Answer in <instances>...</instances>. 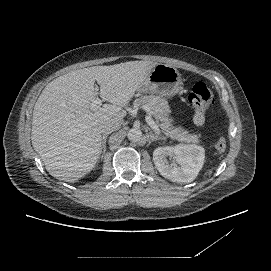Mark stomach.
<instances>
[{
	"mask_svg": "<svg viewBox=\"0 0 271 271\" xmlns=\"http://www.w3.org/2000/svg\"><path fill=\"white\" fill-rule=\"evenodd\" d=\"M182 84L181 74L177 68L158 63L153 67L141 90L172 97L182 89Z\"/></svg>",
	"mask_w": 271,
	"mask_h": 271,
	"instance_id": "obj_1",
	"label": "stomach"
}]
</instances>
